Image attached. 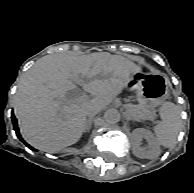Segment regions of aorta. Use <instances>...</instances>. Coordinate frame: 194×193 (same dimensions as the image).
<instances>
[{
    "label": "aorta",
    "mask_w": 194,
    "mask_h": 193,
    "mask_svg": "<svg viewBox=\"0 0 194 193\" xmlns=\"http://www.w3.org/2000/svg\"><path fill=\"white\" fill-rule=\"evenodd\" d=\"M104 119L108 124H116L120 121L121 115L116 109H109L104 114Z\"/></svg>",
    "instance_id": "1"
}]
</instances>
